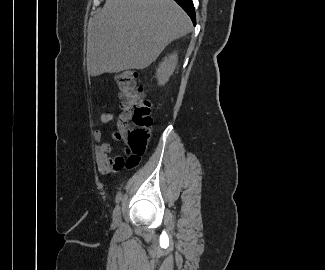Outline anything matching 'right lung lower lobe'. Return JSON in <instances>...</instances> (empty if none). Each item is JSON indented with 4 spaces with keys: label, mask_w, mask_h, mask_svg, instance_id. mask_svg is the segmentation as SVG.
Listing matches in <instances>:
<instances>
[{
    "label": "right lung lower lobe",
    "mask_w": 325,
    "mask_h": 270,
    "mask_svg": "<svg viewBox=\"0 0 325 270\" xmlns=\"http://www.w3.org/2000/svg\"><path fill=\"white\" fill-rule=\"evenodd\" d=\"M190 16L195 25V12L192 0H175Z\"/></svg>",
    "instance_id": "obj_1"
}]
</instances>
